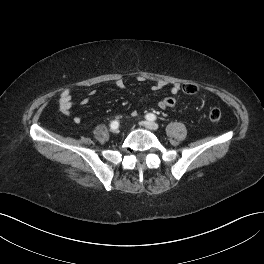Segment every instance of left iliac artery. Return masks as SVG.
<instances>
[{"mask_svg": "<svg viewBox=\"0 0 264 264\" xmlns=\"http://www.w3.org/2000/svg\"><path fill=\"white\" fill-rule=\"evenodd\" d=\"M146 119L149 121H154L156 120V115H154L153 113H149L146 115Z\"/></svg>", "mask_w": 264, "mask_h": 264, "instance_id": "left-iliac-artery-1", "label": "left iliac artery"}]
</instances>
